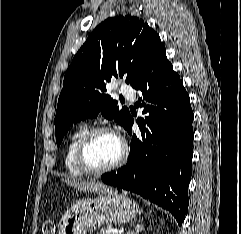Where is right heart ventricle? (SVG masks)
Wrapping results in <instances>:
<instances>
[{
  "mask_svg": "<svg viewBox=\"0 0 241 234\" xmlns=\"http://www.w3.org/2000/svg\"><path fill=\"white\" fill-rule=\"evenodd\" d=\"M87 131L86 125H80L69 137L66 149H65V155H64V166L66 171L74 177H81L84 175V172L78 167L76 163L75 153L77 145L81 139V137L84 135V133Z\"/></svg>",
  "mask_w": 241,
  "mask_h": 234,
  "instance_id": "1",
  "label": "right heart ventricle"
}]
</instances>
